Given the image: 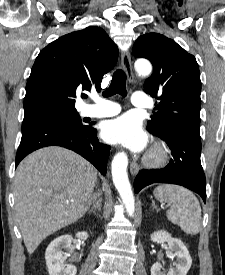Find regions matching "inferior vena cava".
<instances>
[{"mask_svg": "<svg viewBox=\"0 0 225 275\" xmlns=\"http://www.w3.org/2000/svg\"><path fill=\"white\" fill-rule=\"evenodd\" d=\"M97 195H98V194H94V196H93V197H94V199L97 197Z\"/></svg>", "mask_w": 225, "mask_h": 275, "instance_id": "obj_1", "label": "inferior vena cava"}]
</instances>
